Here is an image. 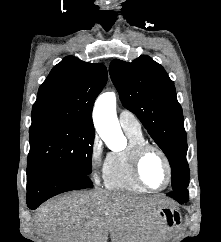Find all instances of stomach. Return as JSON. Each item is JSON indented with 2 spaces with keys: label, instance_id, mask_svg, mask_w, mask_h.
<instances>
[{
  "label": "stomach",
  "instance_id": "obj_1",
  "mask_svg": "<svg viewBox=\"0 0 221 242\" xmlns=\"http://www.w3.org/2000/svg\"><path fill=\"white\" fill-rule=\"evenodd\" d=\"M167 209L169 210V207H167V206H164V207L158 209V215H159V216H162V214H164V213H163V210H167Z\"/></svg>",
  "mask_w": 221,
  "mask_h": 242
}]
</instances>
